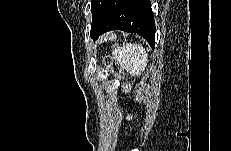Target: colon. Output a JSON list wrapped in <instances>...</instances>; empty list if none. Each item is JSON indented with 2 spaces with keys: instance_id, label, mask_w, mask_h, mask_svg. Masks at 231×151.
<instances>
[{
  "instance_id": "colon-1",
  "label": "colon",
  "mask_w": 231,
  "mask_h": 151,
  "mask_svg": "<svg viewBox=\"0 0 231 151\" xmlns=\"http://www.w3.org/2000/svg\"><path fill=\"white\" fill-rule=\"evenodd\" d=\"M108 63H110V66H111V68L113 69L114 72H116V73L119 72V69H118V67H117L116 64L111 63L110 60H108ZM129 89H130V86H129L128 84H126V85L124 86V90H125V91H128Z\"/></svg>"
}]
</instances>
